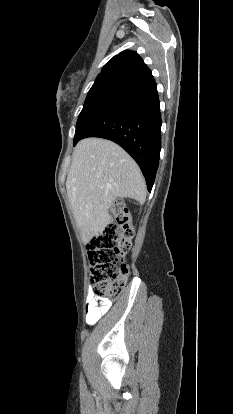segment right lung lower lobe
Wrapping results in <instances>:
<instances>
[{"mask_svg":"<svg viewBox=\"0 0 233 414\" xmlns=\"http://www.w3.org/2000/svg\"><path fill=\"white\" fill-rule=\"evenodd\" d=\"M86 137L109 139L124 148L151 191L161 149L160 102L152 74L133 80L125 91L92 108L76 131L74 146Z\"/></svg>","mask_w":233,"mask_h":414,"instance_id":"right-lung-lower-lobe-1","label":"right lung lower lobe"}]
</instances>
